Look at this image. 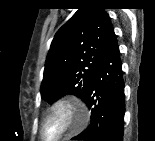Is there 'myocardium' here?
<instances>
[{"instance_id":"f54148a6","label":"myocardium","mask_w":155,"mask_h":141,"mask_svg":"<svg viewBox=\"0 0 155 141\" xmlns=\"http://www.w3.org/2000/svg\"><path fill=\"white\" fill-rule=\"evenodd\" d=\"M58 119L61 130L54 137H46L45 126ZM86 109L75 100L59 98L54 100L43 112L40 119L39 135L47 141H60L80 130L87 122Z\"/></svg>"}]
</instances>
